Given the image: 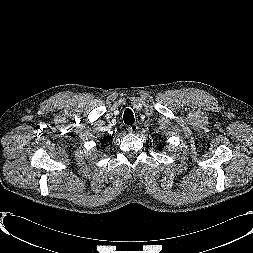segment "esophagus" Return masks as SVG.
Returning a JSON list of instances; mask_svg holds the SVG:
<instances>
[{
  "label": "esophagus",
  "instance_id": "1",
  "mask_svg": "<svg viewBox=\"0 0 253 253\" xmlns=\"http://www.w3.org/2000/svg\"><path fill=\"white\" fill-rule=\"evenodd\" d=\"M128 131L130 133H136L138 131V125L137 124H132L128 127Z\"/></svg>",
  "mask_w": 253,
  "mask_h": 253
}]
</instances>
